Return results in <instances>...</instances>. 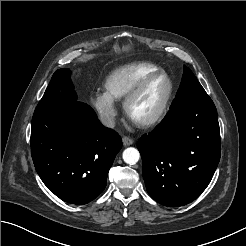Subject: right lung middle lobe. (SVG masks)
Instances as JSON below:
<instances>
[{
	"label": "right lung middle lobe",
	"mask_w": 246,
	"mask_h": 246,
	"mask_svg": "<svg viewBox=\"0 0 246 246\" xmlns=\"http://www.w3.org/2000/svg\"><path fill=\"white\" fill-rule=\"evenodd\" d=\"M70 73L69 69L62 68L53 74L33 117L58 114L77 100Z\"/></svg>",
	"instance_id": "1"
}]
</instances>
